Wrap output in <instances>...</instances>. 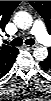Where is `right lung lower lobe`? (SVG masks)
I'll use <instances>...</instances> for the list:
<instances>
[{"instance_id": "98d812e1", "label": "right lung lower lobe", "mask_w": 51, "mask_h": 101, "mask_svg": "<svg viewBox=\"0 0 51 101\" xmlns=\"http://www.w3.org/2000/svg\"><path fill=\"white\" fill-rule=\"evenodd\" d=\"M14 61H15V60H14ZM14 61L11 63V65H10L7 69H5L4 71L1 72V75H2V76L5 75V74L11 69V67H12V65H13V63H14Z\"/></svg>"}]
</instances>
